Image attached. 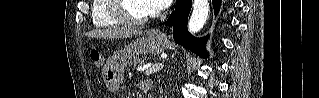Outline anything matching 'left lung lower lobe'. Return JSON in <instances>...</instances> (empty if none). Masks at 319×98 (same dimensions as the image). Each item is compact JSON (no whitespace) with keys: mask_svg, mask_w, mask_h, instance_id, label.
Wrapping results in <instances>:
<instances>
[{"mask_svg":"<svg viewBox=\"0 0 319 98\" xmlns=\"http://www.w3.org/2000/svg\"><path fill=\"white\" fill-rule=\"evenodd\" d=\"M220 0H213V6L217 13L220 6ZM192 7V0H177L175 10L169 16L166 25L172 26L174 30V41L183 47L190 49L202 58L208 55L204 50L206 38H194L187 30V19Z\"/></svg>","mask_w":319,"mask_h":98,"instance_id":"obj_1","label":"left lung lower lobe"}]
</instances>
